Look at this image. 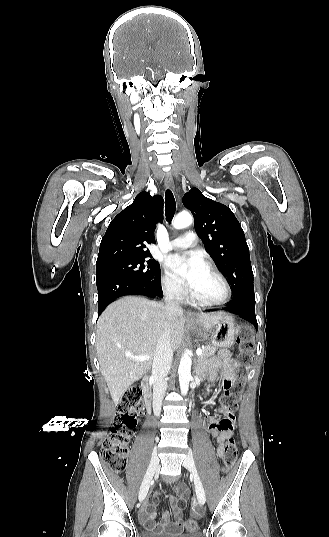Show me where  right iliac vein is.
<instances>
[{
	"mask_svg": "<svg viewBox=\"0 0 329 537\" xmlns=\"http://www.w3.org/2000/svg\"><path fill=\"white\" fill-rule=\"evenodd\" d=\"M159 469V459L157 457L156 452L154 451L149 463V466L147 468V471L145 473V476L143 478V481L140 486L139 490V500L143 501L147 495V492L150 487L151 480L155 474V472Z\"/></svg>",
	"mask_w": 329,
	"mask_h": 537,
	"instance_id": "obj_1",
	"label": "right iliac vein"
}]
</instances>
